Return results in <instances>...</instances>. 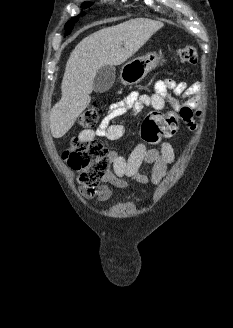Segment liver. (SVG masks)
Instances as JSON below:
<instances>
[{
  "instance_id": "liver-1",
  "label": "liver",
  "mask_w": 233,
  "mask_h": 328,
  "mask_svg": "<svg viewBox=\"0 0 233 328\" xmlns=\"http://www.w3.org/2000/svg\"><path fill=\"white\" fill-rule=\"evenodd\" d=\"M163 26L148 19H131L94 32L75 47L66 64L61 99L50 112L54 138L63 137L89 105L97 71L124 63Z\"/></svg>"
}]
</instances>
